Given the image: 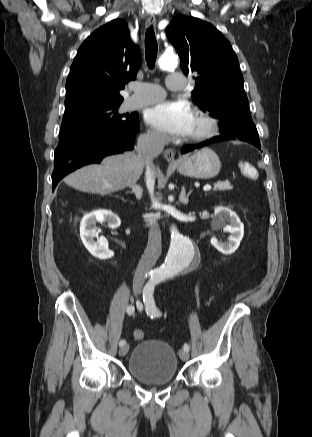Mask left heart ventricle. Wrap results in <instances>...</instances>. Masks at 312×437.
Wrapping results in <instances>:
<instances>
[{"label":"left heart ventricle","mask_w":312,"mask_h":437,"mask_svg":"<svg viewBox=\"0 0 312 437\" xmlns=\"http://www.w3.org/2000/svg\"><path fill=\"white\" fill-rule=\"evenodd\" d=\"M199 126H200L199 122L195 119L194 120V125H193V130H192L191 134L195 133L196 130L199 128Z\"/></svg>","instance_id":"left-heart-ventricle-1"}]
</instances>
